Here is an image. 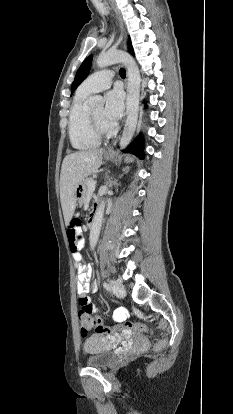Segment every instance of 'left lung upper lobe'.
Instances as JSON below:
<instances>
[{
	"label": "left lung upper lobe",
	"mask_w": 233,
	"mask_h": 414,
	"mask_svg": "<svg viewBox=\"0 0 233 414\" xmlns=\"http://www.w3.org/2000/svg\"><path fill=\"white\" fill-rule=\"evenodd\" d=\"M128 49L129 52L134 55V51L131 45V40L129 38L128 40ZM92 62V56L87 57L83 63L81 64L80 68L77 71V74L75 76L74 82L71 86V94L75 91V89L81 84V82L87 77Z\"/></svg>",
	"instance_id": "1"
}]
</instances>
